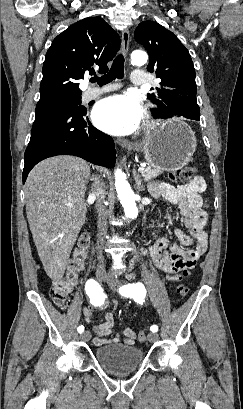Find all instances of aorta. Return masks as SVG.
<instances>
[{"mask_svg":"<svg viewBox=\"0 0 243 409\" xmlns=\"http://www.w3.org/2000/svg\"><path fill=\"white\" fill-rule=\"evenodd\" d=\"M131 59L133 64L141 66L147 62L148 56L145 52L135 51L132 53ZM115 187L125 216L129 219H135L138 216L135 195L125 179V174L120 169L115 171Z\"/></svg>","mask_w":243,"mask_h":409,"instance_id":"1","label":"aorta"}]
</instances>
